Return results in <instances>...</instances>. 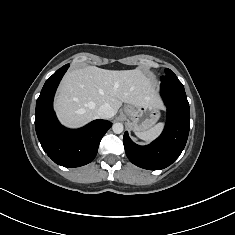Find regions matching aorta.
<instances>
[{
    "label": "aorta",
    "mask_w": 235,
    "mask_h": 235,
    "mask_svg": "<svg viewBox=\"0 0 235 235\" xmlns=\"http://www.w3.org/2000/svg\"><path fill=\"white\" fill-rule=\"evenodd\" d=\"M123 129H124L123 124L119 123V122L118 123H114L113 126H112V130L116 134L122 133Z\"/></svg>",
    "instance_id": "762f6f07"
}]
</instances>
